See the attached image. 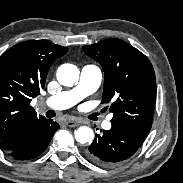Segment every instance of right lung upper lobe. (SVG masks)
Here are the masks:
<instances>
[{"label": "right lung upper lobe", "instance_id": "cb5924a9", "mask_svg": "<svg viewBox=\"0 0 183 183\" xmlns=\"http://www.w3.org/2000/svg\"><path fill=\"white\" fill-rule=\"evenodd\" d=\"M68 49L45 41L17 44L0 56V148L10 150L22 128L43 116L30 106L50 66Z\"/></svg>", "mask_w": 183, "mask_h": 183}]
</instances>
